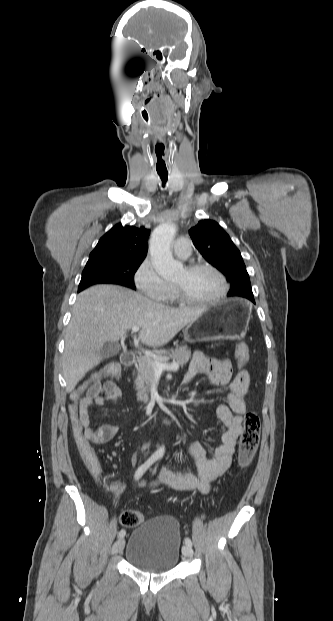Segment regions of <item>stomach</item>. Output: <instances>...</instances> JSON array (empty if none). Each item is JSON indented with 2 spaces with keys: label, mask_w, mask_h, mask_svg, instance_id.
<instances>
[{
  "label": "stomach",
  "mask_w": 333,
  "mask_h": 621,
  "mask_svg": "<svg viewBox=\"0 0 333 621\" xmlns=\"http://www.w3.org/2000/svg\"><path fill=\"white\" fill-rule=\"evenodd\" d=\"M251 306L241 299H231L207 306L201 315L184 329V338L200 342L219 338H238L249 322Z\"/></svg>",
  "instance_id": "1"
}]
</instances>
